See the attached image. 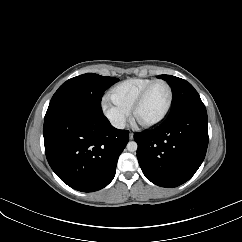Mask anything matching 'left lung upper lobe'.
I'll return each instance as SVG.
<instances>
[{"instance_id":"5c2ea615","label":"left lung upper lobe","mask_w":242,"mask_h":242,"mask_svg":"<svg viewBox=\"0 0 242 242\" xmlns=\"http://www.w3.org/2000/svg\"><path fill=\"white\" fill-rule=\"evenodd\" d=\"M158 78L165 80L172 88L173 101L168 116L189 107L204 105L197 91L186 80L171 75H159Z\"/></svg>"}]
</instances>
